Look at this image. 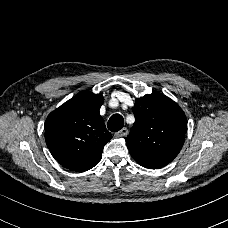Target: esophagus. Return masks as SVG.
<instances>
[{
  "label": "esophagus",
  "instance_id": "esophagus-1",
  "mask_svg": "<svg viewBox=\"0 0 228 228\" xmlns=\"http://www.w3.org/2000/svg\"><path fill=\"white\" fill-rule=\"evenodd\" d=\"M128 135V129L126 127L120 129L118 132H116V137H125Z\"/></svg>",
  "mask_w": 228,
  "mask_h": 228
}]
</instances>
